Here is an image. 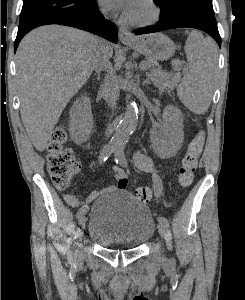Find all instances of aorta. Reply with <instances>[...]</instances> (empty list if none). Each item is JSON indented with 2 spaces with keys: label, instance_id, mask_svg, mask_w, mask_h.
Masks as SVG:
<instances>
[{
  "label": "aorta",
  "instance_id": "aorta-1",
  "mask_svg": "<svg viewBox=\"0 0 245 300\" xmlns=\"http://www.w3.org/2000/svg\"><path fill=\"white\" fill-rule=\"evenodd\" d=\"M138 121L137 104L130 100L127 105L124 117L121 119L114 136L111 139V147L114 150H122L127 143L130 135L136 129Z\"/></svg>",
  "mask_w": 245,
  "mask_h": 300
}]
</instances>
